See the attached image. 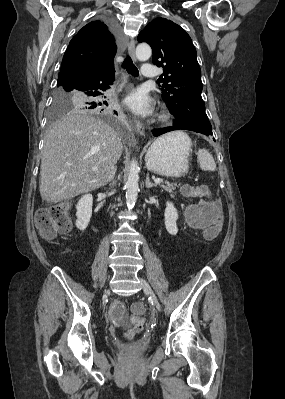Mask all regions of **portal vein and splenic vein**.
<instances>
[{
	"label": "portal vein and splenic vein",
	"mask_w": 285,
	"mask_h": 399,
	"mask_svg": "<svg viewBox=\"0 0 285 399\" xmlns=\"http://www.w3.org/2000/svg\"><path fill=\"white\" fill-rule=\"evenodd\" d=\"M92 170H93V171H96L97 168L94 167ZM154 182H155L156 184H159V183H162V182H163V179L158 178V179H155Z\"/></svg>",
	"instance_id": "1"
}]
</instances>
